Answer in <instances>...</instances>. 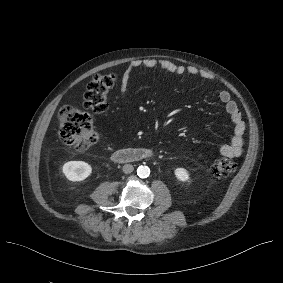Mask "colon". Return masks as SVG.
Instances as JSON below:
<instances>
[{"label": "colon", "mask_w": 283, "mask_h": 283, "mask_svg": "<svg viewBox=\"0 0 283 283\" xmlns=\"http://www.w3.org/2000/svg\"><path fill=\"white\" fill-rule=\"evenodd\" d=\"M117 77L113 73L98 75L87 85L83 106L96 114L108 108V94ZM59 135L61 140L79 151H84L98 141V133L93 127L91 116L73 106H65L59 114ZM236 165L229 159H219L209 168L216 178H225L235 171Z\"/></svg>", "instance_id": "obj_1"}]
</instances>
